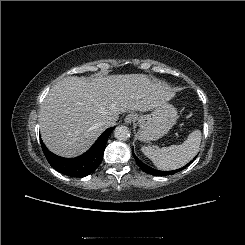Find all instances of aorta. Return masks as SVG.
<instances>
[{"mask_svg": "<svg viewBox=\"0 0 245 245\" xmlns=\"http://www.w3.org/2000/svg\"><path fill=\"white\" fill-rule=\"evenodd\" d=\"M114 136L116 139L126 141L130 138V130L126 126H117L114 130Z\"/></svg>", "mask_w": 245, "mask_h": 245, "instance_id": "obj_1", "label": "aorta"}]
</instances>
